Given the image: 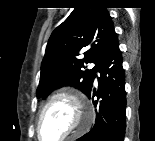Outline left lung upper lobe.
Listing matches in <instances>:
<instances>
[{"label":"left lung upper lobe","mask_w":155,"mask_h":141,"mask_svg":"<svg viewBox=\"0 0 155 141\" xmlns=\"http://www.w3.org/2000/svg\"><path fill=\"white\" fill-rule=\"evenodd\" d=\"M104 0H77L69 17L51 34L41 65L37 97L43 99L62 85H71L84 94L90 91L98 63L116 35ZM81 50L84 58L78 59ZM95 67L83 71L84 64ZM114 111L117 101L113 102Z\"/></svg>","instance_id":"1"}]
</instances>
